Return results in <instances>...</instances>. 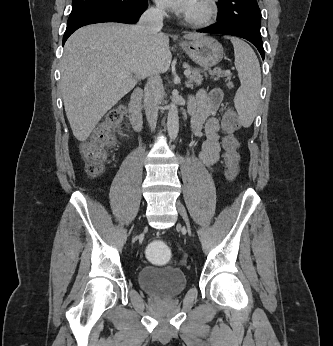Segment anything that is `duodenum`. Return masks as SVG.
<instances>
[{
	"instance_id": "duodenum-1",
	"label": "duodenum",
	"mask_w": 333,
	"mask_h": 346,
	"mask_svg": "<svg viewBox=\"0 0 333 346\" xmlns=\"http://www.w3.org/2000/svg\"><path fill=\"white\" fill-rule=\"evenodd\" d=\"M142 99L143 90L140 88L133 90L129 101V119L135 131H140L143 125Z\"/></svg>"
}]
</instances>
